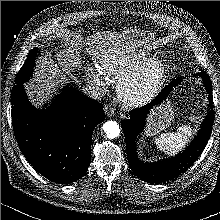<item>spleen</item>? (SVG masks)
I'll list each match as a JSON object with an SVG mask.
<instances>
[{
	"instance_id": "3e777b00",
	"label": "spleen",
	"mask_w": 220,
	"mask_h": 220,
	"mask_svg": "<svg viewBox=\"0 0 220 220\" xmlns=\"http://www.w3.org/2000/svg\"><path fill=\"white\" fill-rule=\"evenodd\" d=\"M191 135L192 128L188 125H183L177 129V132L161 134L154 139L153 143L156 144L160 151L176 154L187 144Z\"/></svg>"
}]
</instances>
